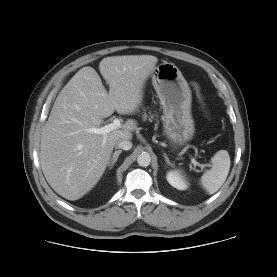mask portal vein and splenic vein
Listing matches in <instances>:
<instances>
[{
    "mask_svg": "<svg viewBox=\"0 0 277 277\" xmlns=\"http://www.w3.org/2000/svg\"><path fill=\"white\" fill-rule=\"evenodd\" d=\"M121 127V122L118 118H115L112 123L107 124L103 127L100 128H90L87 129L89 133H94V134H101L105 135L113 130H116ZM191 162L193 163L194 166H199L201 169H205L206 167L209 166V164H200L197 162L194 158H191Z\"/></svg>",
    "mask_w": 277,
    "mask_h": 277,
    "instance_id": "obj_1",
    "label": "portal vein and splenic vein"
}]
</instances>
